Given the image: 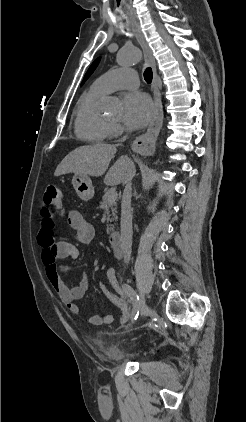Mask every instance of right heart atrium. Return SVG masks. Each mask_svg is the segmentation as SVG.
<instances>
[{
	"label": "right heart atrium",
	"mask_w": 246,
	"mask_h": 422,
	"mask_svg": "<svg viewBox=\"0 0 246 422\" xmlns=\"http://www.w3.org/2000/svg\"><path fill=\"white\" fill-rule=\"evenodd\" d=\"M123 132H124L123 127L121 125H119L118 123L111 122L109 124V137H111V138L118 137V136L122 135Z\"/></svg>",
	"instance_id": "right-heart-atrium-1"
}]
</instances>
